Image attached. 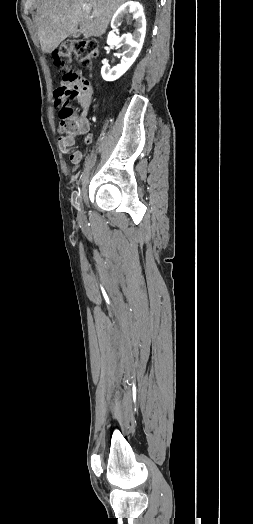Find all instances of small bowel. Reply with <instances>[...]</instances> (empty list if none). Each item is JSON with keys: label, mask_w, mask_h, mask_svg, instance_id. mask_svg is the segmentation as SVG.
Returning <instances> with one entry per match:
<instances>
[{"label": "small bowel", "mask_w": 253, "mask_h": 524, "mask_svg": "<svg viewBox=\"0 0 253 524\" xmlns=\"http://www.w3.org/2000/svg\"><path fill=\"white\" fill-rule=\"evenodd\" d=\"M53 95L56 98V100L59 101L60 99H62L64 92L62 89L57 88L54 90ZM91 100H92V93L85 97H77L78 104L82 110L80 132H85L88 129V123L85 119V112L87 108L89 107ZM59 144H60L61 151L64 154L69 156L72 163L79 164L81 162L83 158L82 152L77 150L67 138L65 137L60 138Z\"/></svg>", "instance_id": "1"}]
</instances>
